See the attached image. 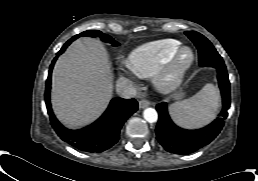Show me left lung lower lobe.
Masks as SVG:
<instances>
[{"instance_id": "obj_1", "label": "left lung lower lobe", "mask_w": 258, "mask_h": 181, "mask_svg": "<svg viewBox=\"0 0 258 181\" xmlns=\"http://www.w3.org/2000/svg\"><path fill=\"white\" fill-rule=\"evenodd\" d=\"M218 83L222 94L223 109L219 118L208 126L198 130H185L176 126L169 117L166 103H160L156 109L159 114L156 135L166 151L174 154H190L209 144L221 131L230 106V82L226 67H217Z\"/></svg>"}]
</instances>
